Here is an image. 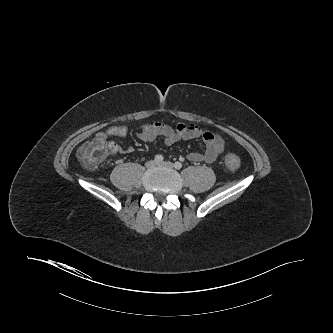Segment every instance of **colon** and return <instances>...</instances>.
<instances>
[{
    "instance_id": "1",
    "label": "colon",
    "mask_w": 333,
    "mask_h": 333,
    "mask_svg": "<svg viewBox=\"0 0 333 333\" xmlns=\"http://www.w3.org/2000/svg\"><path fill=\"white\" fill-rule=\"evenodd\" d=\"M110 152L109 143L105 139L95 138L79 148L77 157L83 166L94 168L98 166ZM224 163L229 170L233 171L240 167L241 160L236 154L229 153L225 156Z\"/></svg>"
}]
</instances>
